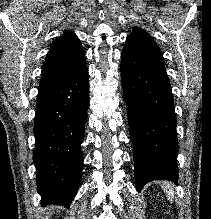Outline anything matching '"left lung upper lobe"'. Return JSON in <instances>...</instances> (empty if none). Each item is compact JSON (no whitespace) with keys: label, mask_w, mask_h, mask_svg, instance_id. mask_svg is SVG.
<instances>
[{"label":"left lung upper lobe","mask_w":211,"mask_h":219,"mask_svg":"<svg viewBox=\"0 0 211 219\" xmlns=\"http://www.w3.org/2000/svg\"><path fill=\"white\" fill-rule=\"evenodd\" d=\"M129 36L130 37H141L144 39H151L145 30L138 28V27L133 28V31Z\"/></svg>","instance_id":"5c2ea615"}]
</instances>
